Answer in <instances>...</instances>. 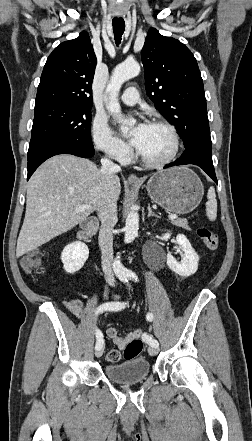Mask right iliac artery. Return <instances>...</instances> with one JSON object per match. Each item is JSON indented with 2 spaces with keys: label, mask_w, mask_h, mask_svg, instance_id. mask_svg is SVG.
<instances>
[{
  "label": "right iliac artery",
  "mask_w": 252,
  "mask_h": 441,
  "mask_svg": "<svg viewBox=\"0 0 252 441\" xmlns=\"http://www.w3.org/2000/svg\"><path fill=\"white\" fill-rule=\"evenodd\" d=\"M124 282H128V279L125 278L123 280ZM126 303L124 302H108L105 304L100 305L97 310H96V314L102 313L104 311H119L121 309H123L125 307ZM96 346L95 349L98 350L100 348L103 347L104 344V339H103V334L102 332L97 328L96 329Z\"/></svg>",
  "instance_id": "82829eb1"
}]
</instances>
